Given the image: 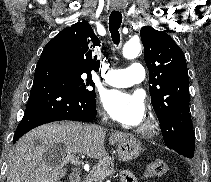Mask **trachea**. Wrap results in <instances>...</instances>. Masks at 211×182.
Here are the masks:
<instances>
[{"label": "trachea", "mask_w": 211, "mask_h": 182, "mask_svg": "<svg viewBox=\"0 0 211 182\" xmlns=\"http://www.w3.org/2000/svg\"><path fill=\"white\" fill-rule=\"evenodd\" d=\"M122 23V14L118 11H113L109 17V30L114 44L120 43L119 28Z\"/></svg>", "instance_id": "1"}]
</instances>
